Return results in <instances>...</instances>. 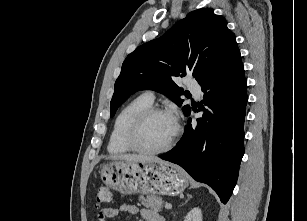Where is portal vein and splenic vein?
<instances>
[{
  "label": "portal vein and splenic vein",
  "mask_w": 307,
  "mask_h": 221,
  "mask_svg": "<svg viewBox=\"0 0 307 221\" xmlns=\"http://www.w3.org/2000/svg\"><path fill=\"white\" fill-rule=\"evenodd\" d=\"M165 208L169 210V209L172 208V205H171L170 203H166V204H165Z\"/></svg>",
  "instance_id": "obj_1"
}]
</instances>
